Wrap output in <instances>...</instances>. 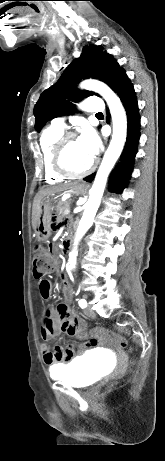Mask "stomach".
I'll return each mask as SVG.
<instances>
[{"label": "stomach", "instance_id": "obj_1", "mask_svg": "<svg viewBox=\"0 0 165 461\" xmlns=\"http://www.w3.org/2000/svg\"><path fill=\"white\" fill-rule=\"evenodd\" d=\"M72 190L76 194H84L86 191V185L84 183L77 182L73 185ZM52 211L51 200L49 197L44 198L41 204V213L39 222L35 229L36 237L40 241L47 240L51 235V224L52 220L50 216Z\"/></svg>", "mask_w": 165, "mask_h": 461}]
</instances>
